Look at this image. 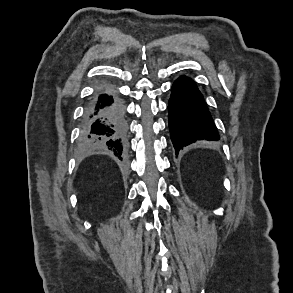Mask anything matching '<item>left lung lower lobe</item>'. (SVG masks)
Listing matches in <instances>:
<instances>
[{
	"instance_id": "0a47b994",
	"label": "left lung lower lobe",
	"mask_w": 293,
	"mask_h": 293,
	"mask_svg": "<svg viewBox=\"0 0 293 293\" xmlns=\"http://www.w3.org/2000/svg\"><path fill=\"white\" fill-rule=\"evenodd\" d=\"M168 111L170 135L176 154L197 140L220 139L203 96L189 77L180 76L173 83Z\"/></svg>"
}]
</instances>
